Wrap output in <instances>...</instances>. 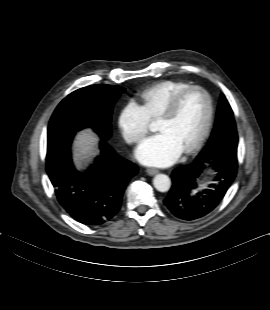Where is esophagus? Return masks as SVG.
<instances>
[{
    "instance_id": "esophagus-1",
    "label": "esophagus",
    "mask_w": 270,
    "mask_h": 310,
    "mask_svg": "<svg viewBox=\"0 0 270 310\" xmlns=\"http://www.w3.org/2000/svg\"><path fill=\"white\" fill-rule=\"evenodd\" d=\"M146 172H147L148 175L152 176V175L157 174L159 172V170L155 169V168H147Z\"/></svg>"
}]
</instances>
